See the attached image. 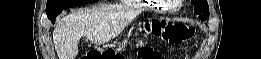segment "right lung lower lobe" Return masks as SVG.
<instances>
[{"instance_id": "1", "label": "right lung lower lobe", "mask_w": 261, "mask_h": 59, "mask_svg": "<svg viewBox=\"0 0 261 59\" xmlns=\"http://www.w3.org/2000/svg\"><path fill=\"white\" fill-rule=\"evenodd\" d=\"M59 14H60V13H59ZM57 15H58V14H56L55 16H52V17H48V18L51 20L52 23H54V22H55V18H56Z\"/></svg>"}]
</instances>
